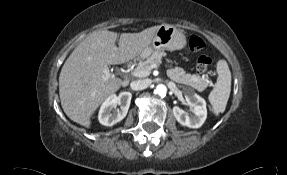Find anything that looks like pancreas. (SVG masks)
<instances>
[{"label":"pancreas","instance_id":"cf45deb5","mask_svg":"<svg viewBox=\"0 0 287 175\" xmlns=\"http://www.w3.org/2000/svg\"><path fill=\"white\" fill-rule=\"evenodd\" d=\"M166 56L165 52L154 51L145 61L140 62L136 69L144 70L148 69L152 64H161L162 57ZM171 62L170 60H167ZM167 76L180 84L191 86L197 91L201 92L208 87V80L201 78L199 75H191L186 73L182 68L175 67L167 70Z\"/></svg>","mask_w":287,"mask_h":175}]
</instances>
